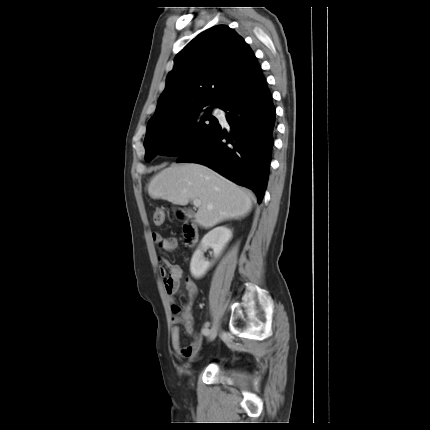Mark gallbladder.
I'll return each mask as SVG.
<instances>
[{"label": "gallbladder", "instance_id": "obj_1", "mask_svg": "<svg viewBox=\"0 0 430 430\" xmlns=\"http://www.w3.org/2000/svg\"><path fill=\"white\" fill-rule=\"evenodd\" d=\"M183 213H184L185 217H192L193 216V212L191 210H188V209H184Z\"/></svg>", "mask_w": 430, "mask_h": 430}]
</instances>
